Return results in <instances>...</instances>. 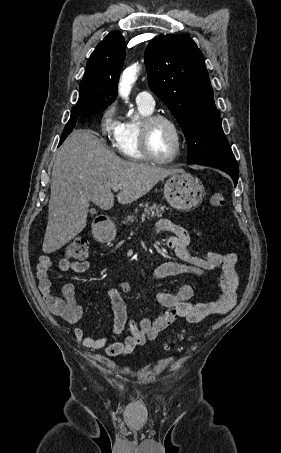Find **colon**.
Wrapping results in <instances>:
<instances>
[{
	"label": "colon",
	"mask_w": 281,
	"mask_h": 453,
	"mask_svg": "<svg viewBox=\"0 0 281 453\" xmlns=\"http://www.w3.org/2000/svg\"><path fill=\"white\" fill-rule=\"evenodd\" d=\"M209 205L214 209H219L224 206V196L220 192L212 193L208 197ZM64 259L67 262H87L88 242L85 238H74L68 244ZM183 339V337H182Z\"/></svg>",
	"instance_id": "obj_1"
}]
</instances>
